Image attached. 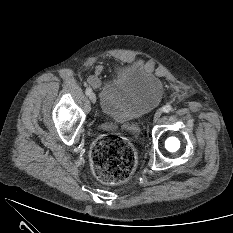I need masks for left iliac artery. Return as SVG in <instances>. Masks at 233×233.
Masks as SVG:
<instances>
[{
	"label": "left iliac artery",
	"mask_w": 233,
	"mask_h": 233,
	"mask_svg": "<svg viewBox=\"0 0 233 233\" xmlns=\"http://www.w3.org/2000/svg\"><path fill=\"white\" fill-rule=\"evenodd\" d=\"M172 110V106L167 104L163 107L162 111L165 113H169Z\"/></svg>",
	"instance_id": "obj_1"
}]
</instances>
